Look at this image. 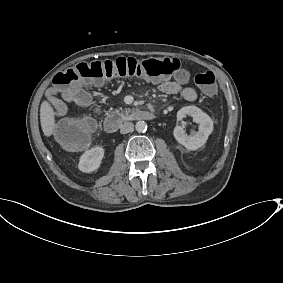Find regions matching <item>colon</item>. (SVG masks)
Masks as SVG:
<instances>
[{"mask_svg":"<svg viewBox=\"0 0 283 283\" xmlns=\"http://www.w3.org/2000/svg\"><path fill=\"white\" fill-rule=\"evenodd\" d=\"M176 58L119 57L114 60L82 62L59 72L53 79L55 87L72 103L80 106L91 104L90 94L83 88L86 83H102L113 78L166 79L178 72ZM195 84L206 94L217 91L215 75L208 71L194 78ZM91 117L78 116L60 121L54 128L55 139L65 148L78 150L86 147L95 130Z\"/></svg>","mask_w":283,"mask_h":283,"instance_id":"obj_1","label":"colon"}]
</instances>
